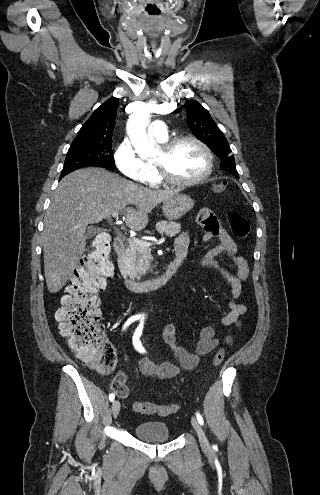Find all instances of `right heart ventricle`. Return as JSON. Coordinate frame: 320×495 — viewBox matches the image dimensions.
Segmentation results:
<instances>
[{
  "label": "right heart ventricle",
  "instance_id": "e07e8e85",
  "mask_svg": "<svg viewBox=\"0 0 320 495\" xmlns=\"http://www.w3.org/2000/svg\"><path fill=\"white\" fill-rule=\"evenodd\" d=\"M148 166H149V167H150V168L154 171V179H153L152 183H153V184H158V183L160 182V179H159V177L157 176V174H156V172H155V169H154L153 165L149 163V164H148Z\"/></svg>",
  "mask_w": 320,
  "mask_h": 495
}]
</instances>
